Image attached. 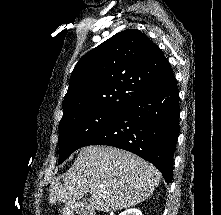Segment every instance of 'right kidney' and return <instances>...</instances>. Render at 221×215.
Returning a JSON list of instances; mask_svg holds the SVG:
<instances>
[{
  "instance_id": "ca27d5eb",
  "label": "right kidney",
  "mask_w": 221,
  "mask_h": 215,
  "mask_svg": "<svg viewBox=\"0 0 221 215\" xmlns=\"http://www.w3.org/2000/svg\"><path fill=\"white\" fill-rule=\"evenodd\" d=\"M119 215H142V212L139 209L132 208V209L125 210Z\"/></svg>"
}]
</instances>
